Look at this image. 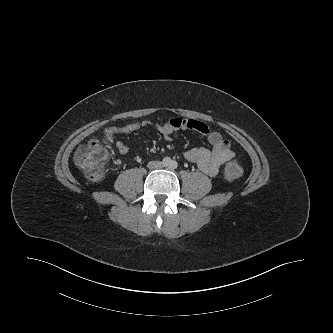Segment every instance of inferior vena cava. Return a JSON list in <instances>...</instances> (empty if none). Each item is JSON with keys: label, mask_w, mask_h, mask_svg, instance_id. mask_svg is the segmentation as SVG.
Segmentation results:
<instances>
[{"label": "inferior vena cava", "mask_w": 333, "mask_h": 333, "mask_svg": "<svg viewBox=\"0 0 333 333\" xmlns=\"http://www.w3.org/2000/svg\"><path fill=\"white\" fill-rule=\"evenodd\" d=\"M147 166L149 169H159L163 167V164L160 161H151Z\"/></svg>", "instance_id": "obj_1"}]
</instances>
